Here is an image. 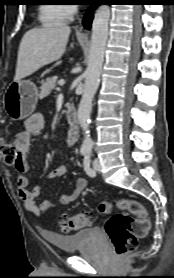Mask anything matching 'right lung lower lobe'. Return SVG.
I'll list each match as a JSON object with an SVG mask.
<instances>
[{
	"mask_svg": "<svg viewBox=\"0 0 174 278\" xmlns=\"http://www.w3.org/2000/svg\"><path fill=\"white\" fill-rule=\"evenodd\" d=\"M96 6H97V4H95V3L90 4V7L86 11L85 17L83 19V25L87 29L90 28V25H91V22H92V18H93L92 12H93V10H94V8Z\"/></svg>",
	"mask_w": 174,
	"mask_h": 278,
	"instance_id": "98d812e1",
	"label": "right lung lower lobe"
}]
</instances>
